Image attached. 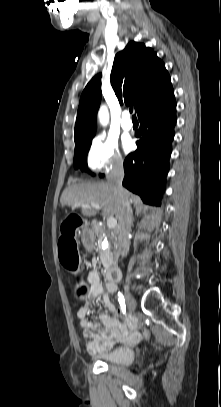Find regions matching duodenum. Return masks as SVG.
I'll use <instances>...</instances> for the list:
<instances>
[{
  "instance_id": "410a0bca",
  "label": "duodenum",
  "mask_w": 221,
  "mask_h": 407,
  "mask_svg": "<svg viewBox=\"0 0 221 407\" xmlns=\"http://www.w3.org/2000/svg\"><path fill=\"white\" fill-rule=\"evenodd\" d=\"M106 277H107L108 281H111L114 283L118 282L121 277L120 269L116 266L109 267L107 270Z\"/></svg>"
}]
</instances>
